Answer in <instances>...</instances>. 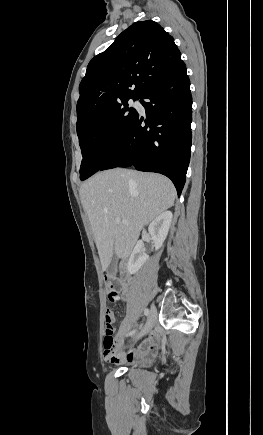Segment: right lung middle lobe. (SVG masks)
Here are the masks:
<instances>
[{
  "instance_id": "1",
  "label": "right lung middle lobe",
  "mask_w": 263,
  "mask_h": 435,
  "mask_svg": "<svg viewBox=\"0 0 263 435\" xmlns=\"http://www.w3.org/2000/svg\"><path fill=\"white\" fill-rule=\"evenodd\" d=\"M128 100L107 107L88 123L77 128L83 156L81 180L100 170L134 124L138 113L133 107H128Z\"/></svg>"
}]
</instances>
